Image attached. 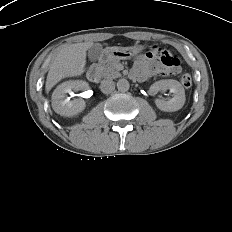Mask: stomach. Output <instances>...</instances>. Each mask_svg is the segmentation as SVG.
<instances>
[{
	"mask_svg": "<svg viewBox=\"0 0 232 232\" xmlns=\"http://www.w3.org/2000/svg\"><path fill=\"white\" fill-rule=\"evenodd\" d=\"M141 47H132V48H122V47H107L103 53V61H119L123 59H128L139 52H141Z\"/></svg>",
	"mask_w": 232,
	"mask_h": 232,
	"instance_id": "1",
	"label": "stomach"
}]
</instances>
